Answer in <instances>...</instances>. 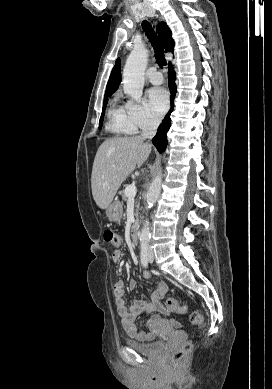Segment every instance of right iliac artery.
I'll list each match as a JSON object with an SVG mask.
<instances>
[{
	"mask_svg": "<svg viewBox=\"0 0 272 389\" xmlns=\"http://www.w3.org/2000/svg\"><path fill=\"white\" fill-rule=\"evenodd\" d=\"M141 264L144 268H148V244L147 242H143L141 244V256H140Z\"/></svg>",
	"mask_w": 272,
	"mask_h": 389,
	"instance_id": "1",
	"label": "right iliac artery"
}]
</instances>
